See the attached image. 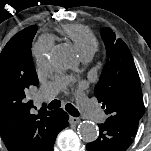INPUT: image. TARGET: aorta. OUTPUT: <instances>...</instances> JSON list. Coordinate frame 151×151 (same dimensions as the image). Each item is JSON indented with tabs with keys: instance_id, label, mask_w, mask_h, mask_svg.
Wrapping results in <instances>:
<instances>
[{
	"instance_id": "1",
	"label": "aorta",
	"mask_w": 151,
	"mask_h": 151,
	"mask_svg": "<svg viewBox=\"0 0 151 151\" xmlns=\"http://www.w3.org/2000/svg\"><path fill=\"white\" fill-rule=\"evenodd\" d=\"M73 49L68 45H59L53 53V62L62 68H68L74 63ZM78 134L85 142H93L98 138V127L90 121H83L78 126Z\"/></svg>"
}]
</instances>
